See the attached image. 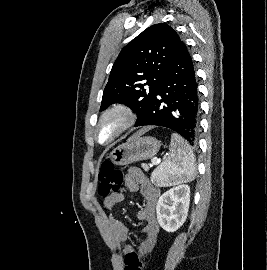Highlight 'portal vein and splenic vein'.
Instances as JSON below:
<instances>
[{"instance_id":"1","label":"portal vein and splenic vein","mask_w":267,"mask_h":270,"mask_svg":"<svg viewBox=\"0 0 267 270\" xmlns=\"http://www.w3.org/2000/svg\"><path fill=\"white\" fill-rule=\"evenodd\" d=\"M151 162H152V165H156V164H158L160 162V159L153 158V159H151Z\"/></svg>"}]
</instances>
